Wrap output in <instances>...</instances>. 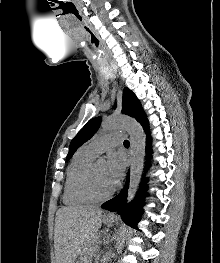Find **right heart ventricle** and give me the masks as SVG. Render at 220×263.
<instances>
[{
    "label": "right heart ventricle",
    "instance_id": "e07e8e85",
    "mask_svg": "<svg viewBox=\"0 0 220 263\" xmlns=\"http://www.w3.org/2000/svg\"><path fill=\"white\" fill-rule=\"evenodd\" d=\"M95 156L85 147L79 149L71 159L66 172L63 202L68 206H80L92 202L81 189V180Z\"/></svg>",
    "mask_w": 220,
    "mask_h": 263
}]
</instances>
